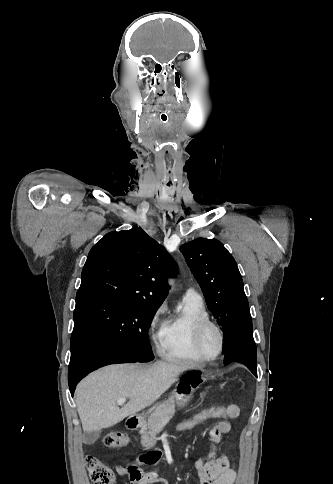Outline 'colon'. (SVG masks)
<instances>
[{"label":"colon","mask_w":333,"mask_h":484,"mask_svg":"<svg viewBox=\"0 0 333 484\" xmlns=\"http://www.w3.org/2000/svg\"><path fill=\"white\" fill-rule=\"evenodd\" d=\"M225 407L212 406L205 408L196 414H193L173 427L174 434H181L188 432L199 425H202L208 421L215 419H222L225 417ZM129 438L127 435L120 432H109L102 438V443L106 447L117 448L127 445ZM86 464L89 472L90 479L93 484H113L114 474L112 470L100 462L98 459L92 456L86 458Z\"/></svg>","instance_id":"1"}]
</instances>
